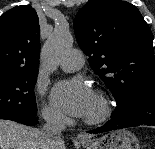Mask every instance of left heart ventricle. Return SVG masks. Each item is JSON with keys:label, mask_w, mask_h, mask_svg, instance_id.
I'll return each mask as SVG.
<instances>
[{"label": "left heart ventricle", "mask_w": 155, "mask_h": 149, "mask_svg": "<svg viewBox=\"0 0 155 149\" xmlns=\"http://www.w3.org/2000/svg\"><path fill=\"white\" fill-rule=\"evenodd\" d=\"M97 112H98V103H97L96 96L93 95L92 101L90 103L87 113L85 114V117L93 116Z\"/></svg>", "instance_id": "left-heart-ventricle-1"}]
</instances>
